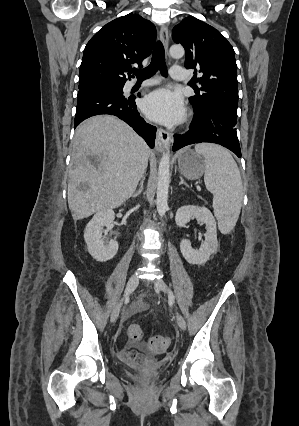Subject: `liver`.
<instances>
[{"instance_id": "6515ba94", "label": "liver", "mask_w": 299, "mask_h": 426, "mask_svg": "<svg viewBox=\"0 0 299 426\" xmlns=\"http://www.w3.org/2000/svg\"><path fill=\"white\" fill-rule=\"evenodd\" d=\"M145 141L120 119L98 115L77 128L68 181L73 219L119 207L135 192L148 165Z\"/></svg>"}]
</instances>
